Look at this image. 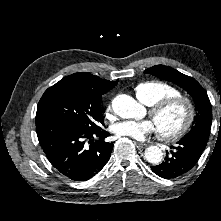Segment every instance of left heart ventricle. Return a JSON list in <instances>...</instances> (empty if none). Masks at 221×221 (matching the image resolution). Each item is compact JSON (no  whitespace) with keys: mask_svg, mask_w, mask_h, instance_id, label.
Here are the masks:
<instances>
[{"mask_svg":"<svg viewBox=\"0 0 221 221\" xmlns=\"http://www.w3.org/2000/svg\"><path fill=\"white\" fill-rule=\"evenodd\" d=\"M184 112L181 106L175 105L164 110L154 122L164 132L177 129L182 123Z\"/></svg>","mask_w":221,"mask_h":221,"instance_id":"b2bd125f","label":"left heart ventricle"}]
</instances>
